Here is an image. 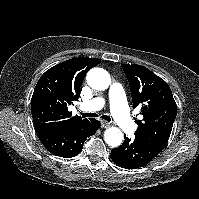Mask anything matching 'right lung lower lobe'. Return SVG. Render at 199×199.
Segmentation results:
<instances>
[{
    "label": "right lung lower lobe",
    "instance_id": "right-lung-lower-lobe-1",
    "mask_svg": "<svg viewBox=\"0 0 199 199\" xmlns=\"http://www.w3.org/2000/svg\"><path fill=\"white\" fill-rule=\"evenodd\" d=\"M100 128V122L89 119L83 123L68 126H48L36 129L44 147L53 155L70 158L78 155L85 140Z\"/></svg>",
    "mask_w": 199,
    "mask_h": 199
}]
</instances>
